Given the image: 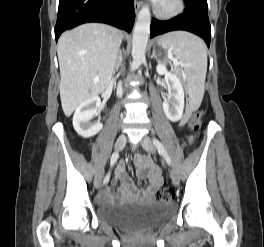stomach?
I'll list each match as a JSON object with an SVG mask.
<instances>
[{
    "mask_svg": "<svg viewBox=\"0 0 264 247\" xmlns=\"http://www.w3.org/2000/svg\"><path fill=\"white\" fill-rule=\"evenodd\" d=\"M159 45V44H158ZM160 46V45H159ZM162 47V46H161ZM155 52L157 53L156 54V57L157 58H168L169 57V54L168 53H165L166 52V49L165 48H156L155 49Z\"/></svg>",
    "mask_w": 264,
    "mask_h": 247,
    "instance_id": "0dacf381",
    "label": "stomach"
}]
</instances>
